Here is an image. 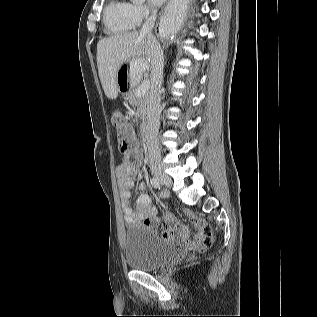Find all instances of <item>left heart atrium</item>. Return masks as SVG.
I'll use <instances>...</instances> for the list:
<instances>
[{
    "label": "left heart atrium",
    "mask_w": 317,
    "mask_h": 317,
    "mask_svg": "<svg viewBox=\"0 0 317 317\" xmlns=\"http://www.w3.org/2000/svg\"><path fill=\"white\" fill-rule=\"evenodd\" d=\"M165 0H150V3L155 5V6H159L161 5Z\"/></svg>",
    "instance_id": "39dd6f15"
}]
</instances>
